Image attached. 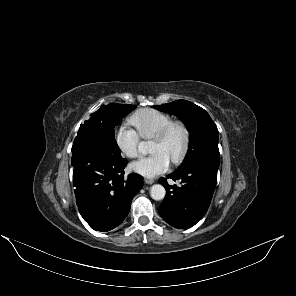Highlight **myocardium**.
<instances>
[{
    "label": "myocardium",
    "mask_w": 296,
    "mask_h": 296,
    "mask_svg": "<svg viewBox=\"0 0 296 296\" xmlns=\"http://www.w3.org/2000/svg\"><path fill=\"white\" fill-rule=\"evenodd\" d=\"M175 128H179L183 134L182 146L178 154L171 160L172 163L177 164L183 160L189 147L190 132L186 123L181 120H172L153 139L154 141L164 142Z\"/></svg>",
    "instance_id": "myocardium-1"
}]
</instances>
